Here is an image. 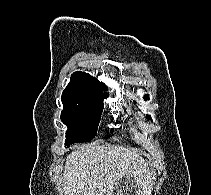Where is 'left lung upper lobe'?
Instances as JSON below:
<instances>
[{
	"label": "left lung upper lobe",
	"mask_w": 211,
	"mask_h": 195,
	"mask_svg": "<svg viewBox=\"0 0 211 195\" xmlns=\"http://www.w3.org/2000/svg\"><path fill=\"white\" fill-rule=\"evenodd\" d=\"M147 99H149V96L148 95H145V100H147ZM148 118H150V116H148Z\"/></svg>",
	"instance_id": "1"
}]
</instances>
